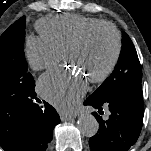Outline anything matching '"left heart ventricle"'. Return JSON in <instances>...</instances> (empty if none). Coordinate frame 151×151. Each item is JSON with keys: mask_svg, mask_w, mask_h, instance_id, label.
I'll use <instances>...</instances> for the list:
<instances>
[{"mask_svg": "<svg viewBox=\"0 0 151 151\" xmlns=\"http://www.w3.org/2000/svg\"><path fill=\"white\" fill-rule=\"evenodd\" d=\"M113 52V36L109 30L102 29L92 34L82 48L71 53L68 60L90 79L108 66Z\"/></svg>", "mask_w": 151, "mask_h": 151, "instance_id": "left-heart-ventricle-1", "label": "left heart ventricle"}]
</instances>
